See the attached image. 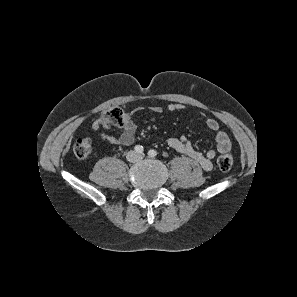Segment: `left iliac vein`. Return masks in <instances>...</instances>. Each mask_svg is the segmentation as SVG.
Wrapping results in <instances>:
<instances>
[{
  "label": "left iliac vein",
  "mask_w": 297,
  "mask_h": 297,
  "mask_svg": "<svg viewBox=\"0 0 297 297\" xmlns=\"http://www.w3.org/2000/svg\"><path fill=\"white\" fill-rule=\"evenodd\" d=\"M138 157L139 158H143L144 157V154H140Z\"/></svg>",
  "instance_id": "1"
}]
</instances>
